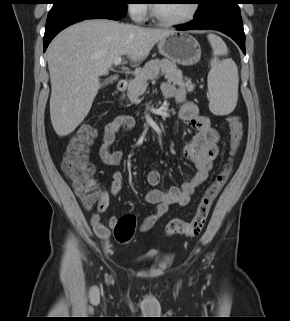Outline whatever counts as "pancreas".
Segmentation results:
<instances>
[{
    "mask_svg": "<svg viewBox=\"0 0 290 321\" xmlns=\"http://www.w3.org/2000/svg\"><path fill=\"white\" fill-rule=\"evenodd\" d=\"M160 72L168 81L186 88L189 92L193 91L194 84L191 79L187 77L184 78L182 71L177 68L174 62L168 59H154L146 63L142 69L138 70L135 78L129 81L127 96L130 101L138 100V98L145 93L148 80H152Z\"/></svg>",
    "mask_w": 290,
    "mask_h": 321,
    "instance_id": "cf45deb5",
    "label": "pancreas"
}]
</instances>
